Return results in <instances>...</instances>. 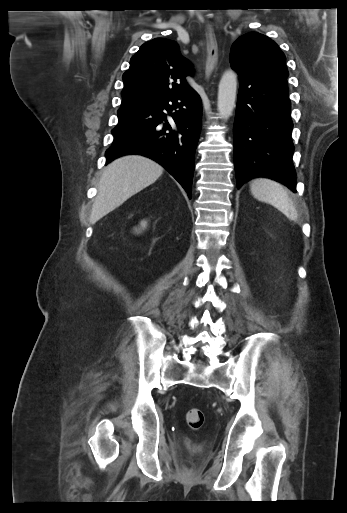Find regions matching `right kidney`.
Masks as SVG:
<instances>
[{"instance_id":"1","label":"right kidney","mask_w":347,"mask_h":513,"mask_svg":"<svg viewBox=\"0 0 347 513\" xmlns=\"http://www.w3.org/2000/svg\"><path fill=\"white\" fill-rule=\"evenodd\" d=\"M147 226V222L146 221H141L140 223V228L144 229L146 228ZM136 232H140V229L137 230V228L135 229Z\"/></svg>"}]
</instances>
